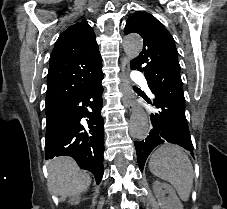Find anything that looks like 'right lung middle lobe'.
I'll return each mask as SVG.
<instances>
[{"mask_svg":"<svg viewBox=\"0 0 227 209\" xmlns=\"http://www.w3.org/2000/svg\"><path fill=\"white\" fill-rule=\"evenodd\" d=\"M51 110H52V108L46 109V116L49 115V114L51 113Z\"/></svg>","mask_w":227,"mask_h":209,"instance_id":"obj_1","label":"right lung middle lobe"}]
</instances>
